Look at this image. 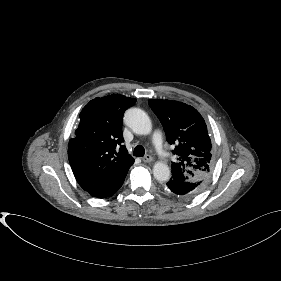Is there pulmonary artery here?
<instances>
[{"label":"pulmonary artery","instance_id":"obj_1","mask_svg":"<svg viewBox=\"0 0 281 281\" xmlns=\"http://www.w3.org/2000/svg\"><path fill=\"white\" fill-rule=\"evenodd\" d=\"M153 143L154 146L158 149L161 150L163 148V140L160 132H155L153 135Z\"/></svg>","mask_w":281,"mask_h":281}]
</instances>
